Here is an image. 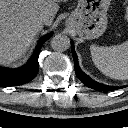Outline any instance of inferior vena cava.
<instances>
[{"mask_svg":"<svg viewBox=\"0 0 128 128\" xmlns=\"http://www.w3.org/2000/svg\"><path fill=\"white\" fill-rule=\"evenodd\" d=\"M49 19V13L46 10H43L40 14H39V20L43 23L47 22Z\"/></svg>","mask_w":128,"mask_h":128,"instance_id":"1","label":"inferior vena cava"}]
</instances>
